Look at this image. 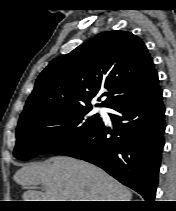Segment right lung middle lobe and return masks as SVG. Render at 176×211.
<instances>
[{
	"label": "right lung middle lobe",
	"instance_id": "obj_1",
	"mask_svg": "<svg viewBox=\"0 0 176 211\" xmlns=\"http://www.w3.org/2000/svg\"><path fill=\"white\" fill-rule=\"evenodd\" d=\"M91 109L86 106L51 109L20 118L14 157L31 159L78 143L102 122L98 114L90 115Z\"/></svg>",
	"mask_w": 176,
	"mask_h": 211
}]
</instances>
